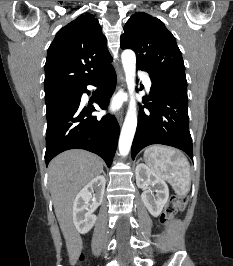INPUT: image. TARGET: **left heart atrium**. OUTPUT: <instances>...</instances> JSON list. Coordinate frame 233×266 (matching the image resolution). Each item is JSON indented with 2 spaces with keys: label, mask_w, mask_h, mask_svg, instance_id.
<instances>
[{
  "label": "left heart atrium",
  "mask_w": 233,
  "mask_h": 266,
  "mask_svg": "<svg viewBox=\"0 0 233 266\" xmlns=\"http://www.w3.org/2000/svg\"><path fill=\"white\" fill-rule=\"evenodd\" d=\"M121 105H122V97L116 96L111 101L110 109L112 111H116L121 107Z\"/></svg>",
  "instance_id": "obj_1"
}]
</instances>
